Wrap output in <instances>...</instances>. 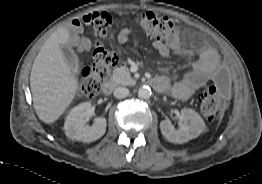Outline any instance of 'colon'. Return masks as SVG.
I'll return each instance as SVG.
<instances>
[{"label":"colon","instance_id":"colon-1","mask_svg":"<svg viewBox=\"0 0 262 184\" xmlns=\"http://www.w3.org/2000/svg\"><path fill=\"white\" fill-rule=\"evenodd\" d=\"M82 22L93 30L95 49L93 62L82 71V80L78 94L80 97H94L99 94L102 83L108 78L112 66L118 60L117 55L102 46L112 24V17L106 12H90L82 17ZM128 22L137 25L149 37L164 40L175 34V21L165 15L146 11L130 17ZM230 89V76L226 69H221L214 83L204 88L199 94L201 113L209 120L217 118L221 113L223 99Z\"/></svg>","mask_w":262,"mask_h":184}]
</instances>
